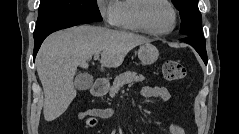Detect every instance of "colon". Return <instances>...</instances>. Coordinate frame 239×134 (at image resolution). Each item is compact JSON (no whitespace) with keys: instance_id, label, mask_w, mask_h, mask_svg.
Instances as JSON below:
<instances>
[{"instance_id":"1","label":"colon","mask_w":239,"mask_h":134,"mask_svg":"<svg viewBox=\"0 0 239 134\" xmlns=\"http://www.w3.org/2000/svg\"><path fill=\"white\" fill-rule=\"evenodd\" d=\"M163 76L168 81L181 80L186 75L185 66L178 61H168L162 68Z\"/></svg>"}]
</instances>
